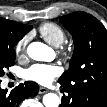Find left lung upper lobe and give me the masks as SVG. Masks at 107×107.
Listing matches in <instances>:
<instances>
[{
	"label": "left lung upper lobe",
	"instance_id": "obj_1",
	"mask_svg": "<svg viewBox=\"0 0 107 107\" xmlns=\"http://www.w3.org/2000/svg\"><path fill=\"white\" fill-rule=\"evenodd\" d=\"M74 39L69 69L58 82L73 90L70 107H81L82 84L100 78L107 80V30L94 16L78 11L60 17Z\"/></svg>",
	"mask_w": 107,
	"mask_h": 107
}]
</instances>
